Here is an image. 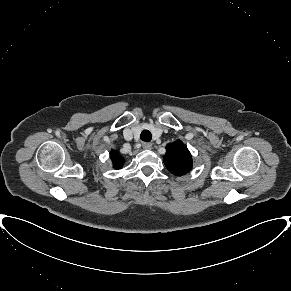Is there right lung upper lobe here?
I'll return each instance as SVG.
<instances>
[{
	"instance_id": "right-lung-upper-lobe-1",
	"label": "right lung upper lobe",
	"mask_w": 291,
	"mask_h": 291,
	"mask_svg": "<svg viewBox=\"0 0 291 291\" xmlns=\"http://www.w3.org/2000/svg\"><path fill=\"white\" fill-rule=\"evenodd\" d=\"M110 157L112 159L114 168L119 169L124 164V159L120 156V154L117 151L112 150Z\"/></svg>"
}]
</instances>
